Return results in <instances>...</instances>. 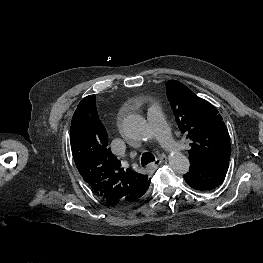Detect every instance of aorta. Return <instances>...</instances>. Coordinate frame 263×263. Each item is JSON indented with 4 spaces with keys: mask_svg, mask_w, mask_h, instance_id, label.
<instances>
[{
    "mask_svg": "<svg viewBox=\"0 0 263 263\" xmlns=\"http://www.w3.org/2000/svg\"><path fill=\"white\" fill-rule=\"evenodd\" d=\"M123 133L129 139L140 141L149 137L146 120L139 114L127 115L122 123ZM170 167L177 174H186L189 171V159L182 153H173L169 158Z\"/></svg>",
    "mask_w": 263,
    "mask_h": 263,
    "instance_id": "aorta-1",
    "label": "aorta"
}]
</instances>
